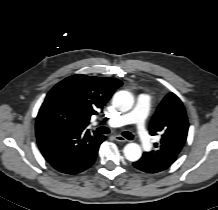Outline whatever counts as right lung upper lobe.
Returning a JSON list of instances; mask_svg holds the SVG:
<instances>
[{"label":"right lung upper lobe","mask_w":218,"mask_h":210,"mask_svg":"<svg viewBox=\"0 0 218 210\" xmlns=\"http://www.w3.org/2000/svg\"><path fill=\"white\" fill-rule=\"evenodd\" d=\"M121 85L118 79L77 74L59 82L48 94L64 99L74 110L79 129L84 130L90 117L103 108Z\"/></svg>","instance_id":"right-lung-upper-lobe-1"}]
</instances>
